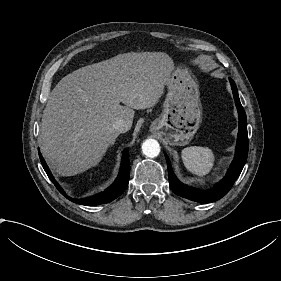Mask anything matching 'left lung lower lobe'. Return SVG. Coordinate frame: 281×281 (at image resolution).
Listing matches in <instances>:
<instances>
[{"mask_svg":"<svg viewBox=\"0 0 281 281\" xmlns=\"http://www.w3.org/2000/svg\"><path fill=\"white\" fill-rule=\"evenodd\" d=\"M231 88L234 95L235 104L239 115V131L235 151V157L229 167L226 176L211 190L202 191L187 185L182 184L174 175L170 160L165 154L170 187L177 195L198 202L211 203L225 196L233 186L234 182L240 175L248 156V134H247V119L245 111L240 103L238 90L235 82L229 78Z\"/></svg>","mask_w":281,"mask_h":281,"instance_id":"obj_1","label":"left lung lower lobe"}]
</instances>
